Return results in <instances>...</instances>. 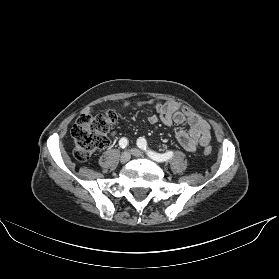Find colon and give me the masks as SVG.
<instances>
[{
    "instance_id": "1",
    "label": "colon",
    "mask_w": 279,
    "mask_h": 279,
    "mask_svg": "<svg viewBox=\"0 0 279 279\" xmlns=\"http://www.w3.org/2000/svg\"><path fill=\"white\" fill-rule=\"evenodd\" d=\"M115 122L116 114L111 110L95 115L90 112L82 113L71 130L75 159L85 162L96 150L105 148L109 143L108 132ZM211 152L210 146L204 149V154L207 156Z\"/></svg>"
}]
</instances>
